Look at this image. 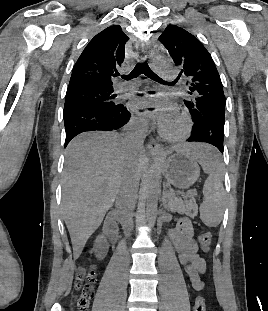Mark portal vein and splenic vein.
Segmentation results:
<instances>
[{
  "label": "portal vein and splenic vein",
  "instance_id": "1",
  "mask_svg": "<svg viewBox=\"0 0 268 311\" xmlns=\"http://www.w3.org/2000/svg\"><path fill=\"white\" fill-rule=\"evenodd\" d=\"M196 194H197L196 192H189L186 195H196Z\"/></svg>",
  "mask_w": 268,
  "mask_h": 311
}]
</instances>
